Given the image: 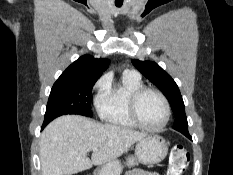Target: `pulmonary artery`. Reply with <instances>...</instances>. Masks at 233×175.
I'll return each mask as SVG.
<instances>
[{"label":"pulmonary artery","mask_w":233,"mask_h":175,"mask_svg":"<svg viewBox=\"0 0 233 175\" xmlns=\"http://www.w3.org/2000/svg\"><path fill=\"white\" fill-rule=\"evenodd\" d=\"M126 73H129V74H133V75H137L138 76V73L136 71H127Z\"/></svg>","instance_id":"obj_1"}]
</instances>
